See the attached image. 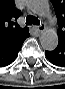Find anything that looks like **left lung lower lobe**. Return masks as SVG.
I'll return each instance as SVG.
<instances>
[{
    "label": "left lung lower lobe",
    "instance_id": "0a47b994",
    "mask_svg": "<svg viewBox=\"0 0 65 89\" xmlns=\"http://www.w3.org/2000/svg\"><path fill=\"white\" fill-rule=\"evenodd\" d=\"M58 46L53 51H45L48 60L56 66L65 67V37L58 36Z\"/></svg>",
    "mask_w": 65,
    "mask_h": 89
}]
</instances>
